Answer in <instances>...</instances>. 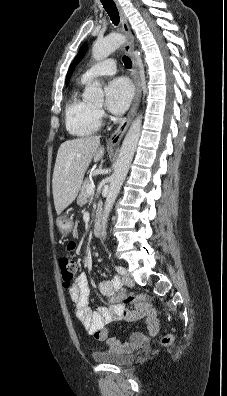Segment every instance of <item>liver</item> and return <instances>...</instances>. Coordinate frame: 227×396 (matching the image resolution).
I'll return each instance as SVG.
<instances>
[{
  "mask_svg": "<svg viewBox=\"0 0 227 396\" xmlns=\"http://www.w3.org/2000/svg\"><path fill=\"white\" fill-rule=\"evenodd\" d=\"M103 156L99 136L67 140L60 145L52 179L57 214L75 200L91 161L98 162Z\"/></svg>",
  "mask_w": 227,
  "mask_h": 396,
  "instance_id": "liver-1",
  "label": "liver"
}]
</instances>
